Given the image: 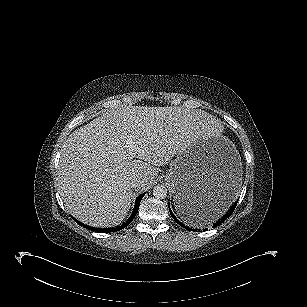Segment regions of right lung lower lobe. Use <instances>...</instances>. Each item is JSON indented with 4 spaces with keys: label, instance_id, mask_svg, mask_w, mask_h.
Instances as JSON below:
<instances>
[{
    "label": "right lung lower lobe",
    "instance_id": "right-lung-lower-lobe-1",
    "mask_svg": "<svg viewBox=\"0 0 307 307\" xmlns=\"http://www.w3.org/2000/svg\"><path fill=\"white\" fill-rule=\"evenodd\" d=\"M144 195H145V194H142V195H140V196L136 199V201H135V206H134V210H133V212H132L131 217H130L125 223H123L121 226H117V227H115V228H94V227L87 226V225H85V224L79 222V221L76 220V219H74V220H75L79 225H81V226H83V227H85V228H87V229H89V230H91V231H97V232H99V233H108V232L119 231V230L125 228L126 226H128V225L132 222V220L134 219V217H135L136 214H137V211H138L139 205H140V201H141V199L143 198Z\"/></svg>",
    "mask_w": 307,
    "mask_h": 307
}]
</instances>
